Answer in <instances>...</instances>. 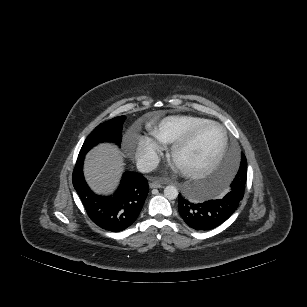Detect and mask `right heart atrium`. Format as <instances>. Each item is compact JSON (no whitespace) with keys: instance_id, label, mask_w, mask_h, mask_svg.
<instances>
[{"instance_id":"d8ad5b80","label":"right heart atrium","mask_w":307,"mask_h":307,"mask_svg":"<svg viewBox=\"0 0 307 307\" xmlns=\"http://www.w3.org/2000/svg\"><path fill=\"white\" fill-rule=\"evenodd\" d=\"M135 158L143 170L153 168L164 150V145L152 135H135Z\"/></svg>"}]
</instances>
